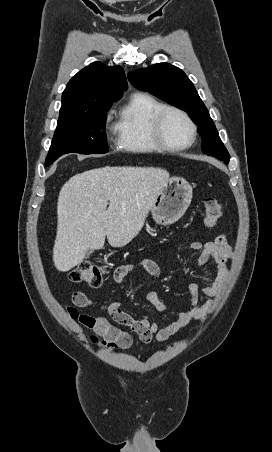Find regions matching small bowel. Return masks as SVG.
<instances>
[{
	"label": "small bowel",
	"mask_w": 272,
	"mask_h": 452,
	"mask_svg": "<svg viewBox=\"0 0 272 452\" xmlns=\"http://www.w3.org/2000/svg\"><path fill=\"white\" fill-rule=\"evenodd\" d=\"M189 249L199 253L196 264L204 265L208 260L212 261L215 268V276L210 285L191 284L189 292L191 302L188 309L176 314L171 323L161 327L160 323L151 322L149 316L145 315L140 319H133L122 309L119 302H111L98 305L104 316L95 317L89 314H79L78 311L69 307L70 316L78 320L86 329L94 332L90 336L93 343L105 345L106 347L127 349L132 344L129 332L136 333L144 343H150L153 339L162 342L166 341L192 321L204 318L210 311L214 299L220 296L229 278V265L234 257V250L228 242L226 235L220 234L213 241L201 243L199 241L187 240ZM146 273L152 277L160 275L158 264L151 259H142L118 266L114 271V280L122 283L130 274ZM73 302L82 308L94 306L91 297L83 292H74ZM206 297L205 302L201 301ZM147 299L160 312L165 311V307L156 292H150Z\"/></svg>",
	"instance_id": "obj_1"
}]
</instances>
